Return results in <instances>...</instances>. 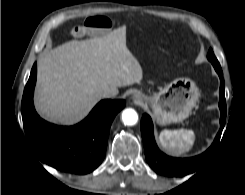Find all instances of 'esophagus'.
Listing matches in <instances>:
<instances>
[{"label": "esophagus", "mask_w": 245, "mask_h": 195, "mask_svg": "<svg viewBox=\"0 0 245 195\" xmlns=\"http://www.w3.org/2000/svg\"><path fill=\"white\" fill-rule=\"evenodd\" d=\"M132 99L134 100L135 103H141L142 102V97L139 94H134L132 96Z\"/></svg>", "instance_id": "esophagus-1"}]
</instances>
